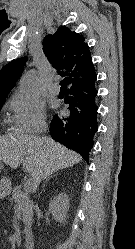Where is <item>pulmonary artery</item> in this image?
<instances>
[{
  "label": "pulmonary artery",
  "mask_w": 135,
  "mask_h": 249,
  "mask_svg": "<svg viewBox=\"0 0 135 249\" xmlns=\"http://www.w3.org/2000/svg\"><path fill=\"white\" fill-rule=\"evenodd\" d=\"M59 91H60V87L57 83H54L49 88V92L51 95H57L59 93Z\"/></svg>",
  "instance_id": "1"
}]
</instances>
